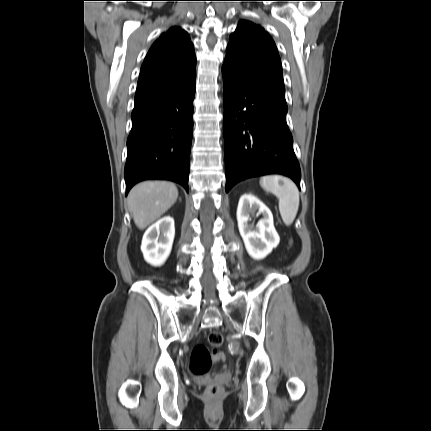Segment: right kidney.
Masks as SVG:
<instances>
[{"label":"right kidney","instance_id":"1","mask_svg":"<svg viewBox=\"0 0 431 431\" xmlns=\"http://www.w3.org/2000/svg\"><path fill=\"white\" fill-rule=\"evenodd\" d=\"M174 235V220L170 216H165L150 226L141 244L144 259L153 266L162 265L171 252Z\"/></svg>","mask_w":431,"mask_h":431}]
</instances>
